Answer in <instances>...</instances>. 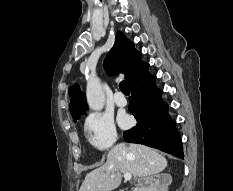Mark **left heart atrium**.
Listing matches in <instances>:
<instances>
[{
  "label": "left heart atrium",
  "instance_id": "1",
  "mask_svg": "<svg viewBox=\"0 0 233 191\" xmlns=\"http://www.w3.org/2000/svg\"><path fill=\"white\" fill-rule=\"evenodd\" d=\"M119 123L122 127H128L131 123V119L127 114H122L119 117Z\"/></svg>",
  "mask_w": 233,
  "mask_h": 191
}]
</instances>
